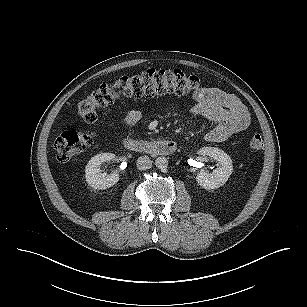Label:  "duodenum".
Returning a JSON list of instances; mask_svg holds the SVG:
<instances>
[{
    "label": "duodenum",
    "mask_w": 307,
    "mask_h": 307,
    "mask_svg": "<svg viewBox=\"0 0 307 307\" xmlns=\"http://www.w3.org/2000/svg\"><path fill=\"white\" fill-rule=\"evenodd\" d=\"M123 144L124 147L131 152L152 156H169L177 149L176 142L170 139L143 141L126 137Z\"/></svg>",
    "instance_id": "obj_1"
}]
</instances>
